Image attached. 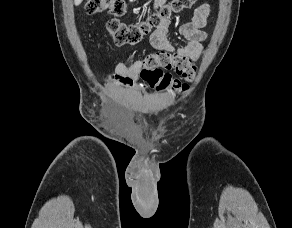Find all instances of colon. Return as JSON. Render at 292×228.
I'll return each instance as SVG.
<instances>
[{
	"label": "colon",
	"instance_id": "colon-1",
	"mask_svg": "<svg viewBox=\"0 0 292 228\" xmlns=\"http://www.w3.org/2000/svg\"><path fill=\"white\" fill-rule=\"evenodd\" d=\"M197 0H170L146 18L135 23L126 24L118 19H111L107 29L117 45H136L153 29L158 27L162 20L168 19L174 12L191 8ZM127 9L126 0H88L85 10L88 14L107 12L113 16H122ZM162 69H173L180 75L184 82L164 74ZM117 80L125 85H133L131 78L116 74ZM195 77V67L188 65L184 60L175 55L155 53L144 59V67L140 72L142 87L170 88L173 91H185L188 83Z\"/></svg>",
	"mask_w": 292,
	"mask_h": 228
}]
</instances>
